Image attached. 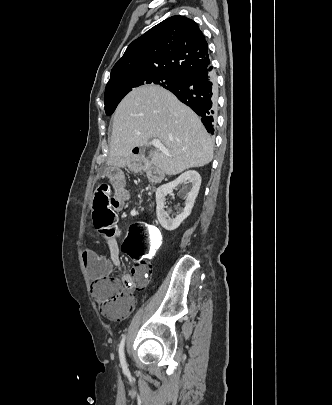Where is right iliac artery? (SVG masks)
Wrapping results in <instances>:
<instances>
[{
    "mask_svg": "<svg viewBox=\"0 0 332 405\" xmlns=\"http://www.w3.org/2000/svg\"><path fill=\"white\" fill-rule=\"evenodd\" d=\"M124 344H125V336L122 338L120 346H119V357H120V362L121 366L124 371H127V365L125 361V356H124Z\"/></svg>",
    "mask_w": 332,
    "mask_h": 405,
    "instance_id": "right-iliac-artery-1",
    "label": "right iliac artery"
}]
</instances>
